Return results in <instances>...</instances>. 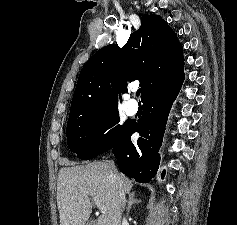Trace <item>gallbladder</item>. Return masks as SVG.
<instances>
[{"instance_id":"1","label":"gallbladder","mask_w":237,"mask_h":225,"mask_svg":"<svg viewBox=\"0 0 237 225\" xmlns=\"http://www.w3.org/2000/svg\"><path fill=\"white\" fill-rule=\"evenodd\" d=\"M85 225H96V223L95 221H91V222L86 223Z\"/></svg>"}]
</instances>
